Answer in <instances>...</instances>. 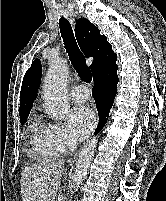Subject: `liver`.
<instances>
[{
	"label": "liver",
	"instance_id": "6515ba94",
	"mask_svg": "<svg viewBox=\"0 0 166 201\" xmlns=\"http://www.w3.org/2000/svg\"><path fill=\"white\" fill-rule=\"evenodd\" d=\"M67 169L63 161H42L24 168L21 174L22 201H54Z\"/></svg>",
	"mask_w": 166,
	"mask_h": 201
}]
</instances>
